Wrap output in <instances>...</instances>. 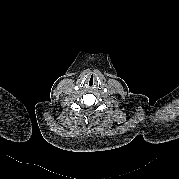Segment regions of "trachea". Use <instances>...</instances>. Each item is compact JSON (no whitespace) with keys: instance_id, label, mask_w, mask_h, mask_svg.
<instances>
[{"instance_id":"3493384b","label":"trachea","mask_w":179,"mask_h":179,"mask_svg":"<svg viewBox=\"0 0 179 179\" xmlns=\"http://www.w3.org/2000/svg\"><path fill=\"white\" fill-rule=\"evenodd\" d=\"M96 81H97V78L94 75L89 76L87 79V83L91 87L95 85Z\"/></svg>"}]
</instances>
